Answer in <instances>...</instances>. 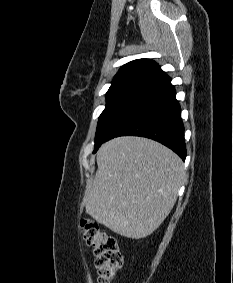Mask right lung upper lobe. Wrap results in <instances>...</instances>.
Here are the masks:
<instances>
[{
	"mask_svg": "<svg viewBox=\"0 0 233 283\" xmlns=\"http://www.w3.org/2000/svg\"><path fill=\"white\" fill-rule=\"evenodd\" d=\"M163 75H165V72L153 60L137 59L120 68L112 81L111 87L130 81L152 82Z\"/></svg>",
	"mask_w": 233,
	"mask_h": 283,
	"instance_id": "right-lung-upper-lobe-1",
	"label": "right lung upper lobe"
}]
</instances>
